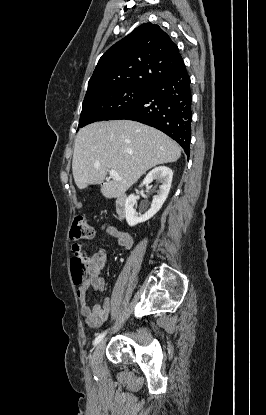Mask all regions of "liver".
I'll use <instances>...</instances> for the list:
<instances>
[{
    "instance_id": "1",
    "label": "liver",
    "mask_w": 266,
    "mask_h": 415,
    "mask_svg": "<svg viewBox=\"0 0 266 415\" xmlns=\"http://www.w3.org/2000/svg\"><path fill=\"white\" fill-rule=\"evenodd\" d=\"M180 156V146L153 127L131 120L95 122L76 135L72 172L79 189L101 185L104 197L117 198L146 171ZM111 169L122 180L104 182Z\"/></svg>"
}]
</instances>
